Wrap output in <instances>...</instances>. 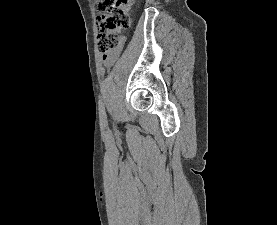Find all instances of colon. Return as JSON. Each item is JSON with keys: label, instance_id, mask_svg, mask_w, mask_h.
I'll use <instances>...</instances> for the list:
<instances>
[{"label": "colon", "instance_id": "5ec220e1", "mask_svg": "<svg viewBox=\"0 0 277 225\" xmlns=\"http://www.w3.org/2000/svg\"><path fill=\"white\" fill-rule=\"evenodd\" d=\"M135 0H96L99 16L96 20L97 47L104 55L116 54L122 48L121 32L130 25V13Z\"/></svg>", "mask_w": 277, "mask_h": 225}]
</instances>
